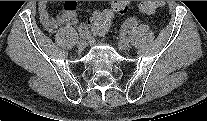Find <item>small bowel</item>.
<instances>
[{
    "mask_svg": "<svg viewBox=\"0 0 207 121\" xmlns=\"http://www.w3.org/2000/svg\"><path fill=\"white\" fill-rule=\"evenodd\" d=\"M48 5V1H40L38 12L41 24L49 33H55L59 27L72 26L77 22L78 3L76 1H66L63 11L56 17L50 15Z\"/></svg>",
    "mask_w": 207,
    "mask_h": 121,
    "instance_id": "small-bowel-1",
    "label": "small bowel"
}]
</instances>
